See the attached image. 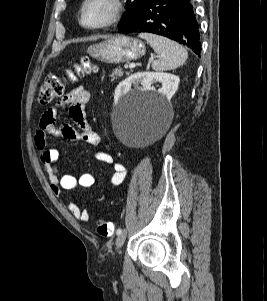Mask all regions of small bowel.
<instances>
[{
  "label": "small bowel",
  "mask_w": 267,
  "mask_h": 301,
  "mask_svg": "<svg viewBox=\"0 0 267 301\" xmlns=\"http://www.w3.org/2000/svg\"><path fill=\"white\" fill-rule=\"evenodd\" d=\"M91 97L90 91L80 85L68 92L55 106L47 109L39 123L35 138L40 159L48 177L50 187L54 194L60 195L62 190H73L78 187H90L94 184V177L90 173H83L79 177L71 174L61 175L56 162L59 157L58 149L48 141L49 137L61 138L67 141H83L93 146L100 143L99 135L92 129L87 121L85 107ZM68 107V114L73 125H57L59 108ZM95 157L97 160L113 168L110 178L112 186L120 185L126 177L125 166L116 161L108 146L99 149ZM71 214L79 221L88 222L90 213L73 202L68 203Z\"/></svg>",
  "instance_id": "small-bowel-1"
}]
</instances>
